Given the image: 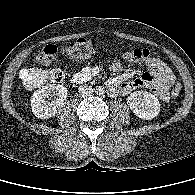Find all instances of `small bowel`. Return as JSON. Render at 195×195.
Masks as SVG:
<instances>
[{
	"mask_svg": "<svg viewBox=\"0 0 195 195\" xmlns=\"http://www.w3.org/2000/svg\"><path fill=\"white\" fill-rule=\"evenodd\" d=\"M145 65L147 71L139 72L135 70L117 75L108 80V88L111 95H126L139 88H147L154 93L160 100L166 102L169 100V89L174 83L175 76L166 63L156 57H151ZM113 73H120L123 65L120 62H114L110 66ZM100 71L97 65H86L81 69L71 71L70 81L74 85L87 82L95 77ZM138 75L137 78L131 77Z\"/></svg>",
	"mask_w": 195,
	"mask_h": 195,
	"instance_id": "1",
	"label": "small bowel"
}]
</instances>
